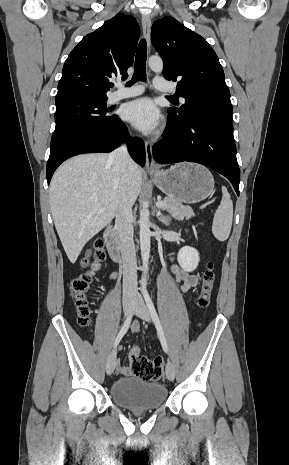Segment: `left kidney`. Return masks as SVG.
<instances>
[{
  "label": "left kidney",
  "instance_id": "1",
  "mask_svg": "<svg viewBox=\"0 0 289 465\" xmlns=\"http://www.w3.org/2000/svg\"><path fill=\"white\" fill-rule=\"evenodd\" d=\"M198 251L190 246L181 248L177 255V261L181 268L186 272H193L199 263Z\"/></svg>",
  "mask_w": 289,
  "mask_h": 465
}]
</instances>
